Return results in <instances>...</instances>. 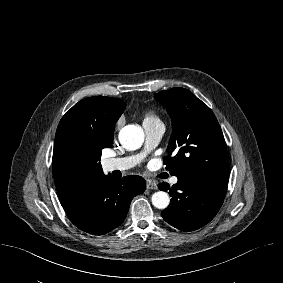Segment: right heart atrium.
<instances>
[{
	"instance_id": "d8ad5b80",
	"label": "right heart atrium",
	"mask_w": 283,
	"mask_h": 283,
	"mask_svg": "<svg viewBox=\"0 0 283 283\" xmlns=\"http://www.w3.org/2000/svg\"><path fill=\"white\" fill-rule=\"evenodd\" d=\"M122 124V119H120L118 122H117V127H120Z\"/></svg>"
}]
</instances>
